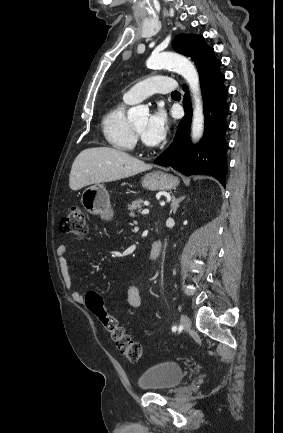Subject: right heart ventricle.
<instances>
[{
  "label": "right heart ventricle",
  "mask_w": 283,
  "mask_h": 433,
  "mask_svg": "<svg viewBox=\"0 0 283 433\" xmlns=\"http://www.w3.org/2000/svg\"><path fill=\"white\" fill-rule=\"evenodd\" d=\"M129 105L130 103L124 100L102 117L101 126L104 137L116 149L122 150V146L132 145L135 142L133 125L126 115Z\"/></svg>",
  "instance_id": "right-heart-ventricle-1"
}]
</instances>
